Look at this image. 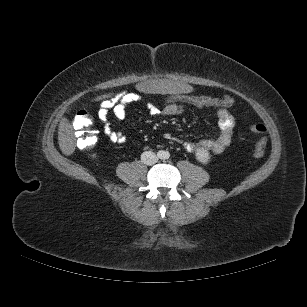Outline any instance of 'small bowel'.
<instances>
[{
  "instance_id": "1",
  "label": "small bowel",
  "mask_w": 307,
  "mask_h": 307,
  "mask_svg": "<svg viewBox=\"0 0 307 307\" xmlns=\"http://www.w3.org/2000/svg\"><path fill=\"white\" fill-rule=\"evenodd\" d=\"M143 101L141 94L137 92L121 93L113 97L107 98L101 102L100 109L98 111V118L102 123L104 134L114 143L126 142V136L112 128L110 123L111 114L119 120H122L126 116L127 109L134 103ZM151 116H175L184 111L183 104H170L164 107H159L151 102L145 103ZM218 127L220 133L215 138L205 139L199 144H193L188 141H183L182 144L186 150L193 152L197 149H205L213 154H221L226 147L230 144L235 119L233 115L226 108H219L217 111ZM167 139H174L170 134H166Z\"/></svg>"
}]
</instances>
